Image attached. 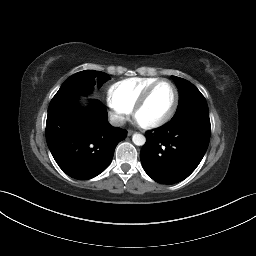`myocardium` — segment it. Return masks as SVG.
<instances>
[{"instance_id": "f54148a6", "label": "myocardium", "mask_w": 256, "mask_h": 256, "mask_svg": "<svg viewBox=\"0 0 256 256\" xmlns=\"http://www.w3.org/2000/svg\"><path fill=\"white\" fill-rule=\"evenodd\" d=\"M161 83H168L169 85H171V87L173 88V91H174V99H173V103H172L169 111L162 118H160L156 121L149 122V123L139 122L137 120L138 112L146 104V102L148 101V99H149L150 95L152 94V92L154 91V89ZM178 103H179V91H178L177 86L172 81H170L168 79H159L156 82L149 85L142 92L140 97L137 99L136 103L133 106V116L143 128H146V129L157 128V127H160V126L164 125L165 123H167L173 117V115L175 114V112L177 110Z\"/></svg>"}]
</instances>
